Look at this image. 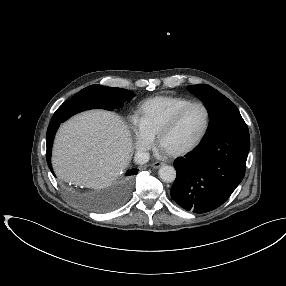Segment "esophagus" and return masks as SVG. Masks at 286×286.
Masks as SVG:
<instances>
[{
	"mask_svg": "<svg viewBox=\"0 0 286 286\" xmlns=\"http://www.w3.org/2000/svg\"><path fill=\"white\" fill-rule=\"evenodd\" d=\"M164 165H165L164 162L155 161V162L152 163L151 166H152L153 168H155V169H158V168H160V167H162V166H164Z\"/></svg>",
	"mask_w": 286,
	"mask_h": 286,
	"instance_id": "34e87169",
	"label": "esophagus"
}]
</instances>
